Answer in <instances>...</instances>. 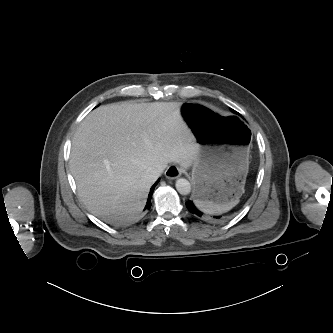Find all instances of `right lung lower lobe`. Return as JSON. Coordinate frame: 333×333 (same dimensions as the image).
<instances>
[{
	"label": "right lung lower lobe",
	"instance_id": "98d812e1",
	"mask_svg": "<svg viewBox=\"0 0 333 333\" xmlns=\"http://www.w3.org/2000/svg\"><path fill=\"white\" fill-rule=\"evenodd\" d=\"M159 182V179L156 181V183L151 187V189H150V193H149V199L147 200V205H146V207H145V209H150V207H151V198H152V194H153V191H154V188H155V186L157 185V183Z\"/></svg>",
	"mask_w": 333,
	"mask_h": 333
}]
</instances>
